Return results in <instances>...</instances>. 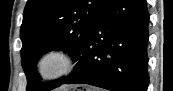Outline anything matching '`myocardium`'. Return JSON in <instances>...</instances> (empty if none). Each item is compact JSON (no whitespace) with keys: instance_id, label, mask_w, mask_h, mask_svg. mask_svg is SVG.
<instances>
[{"instance_id":"f54148a6","label":"myocardium","mask_w":173,"mask_h":91,"mask_svg":"<svg viewBox=\"0 0 173 91\" xmlns=\"http://www.w3.org/2000/svg\"><path fill=\"white\" fill-rule=\"evenodd\" d=\"M76 64L74 54L64 47L44 50L36 62V73L45 82L59 80L72 72Z\"/></svg>"}]
</instances>
